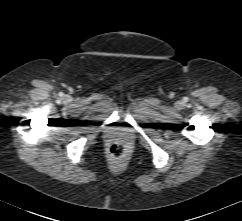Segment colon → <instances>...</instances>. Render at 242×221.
<instances>
[{
	"mask_svg": "<svg viewBox=\"0 0 242 221\" xmlns=\"http://www.w3.org/2000/svg\"><path fill=\"white\" fill-rule=\"evenodd\" d=\"M109 151L110 154L114 157H122L125 154L123 146L119 143L111 144Z\"/></svg>",
	"mask_w": 242,
	"mask_h": 221,
	"instance_id": "1",
	"label": "colon"
}]
</instances>
